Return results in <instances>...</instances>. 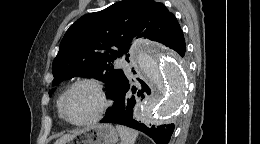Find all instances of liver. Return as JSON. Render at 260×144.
<instances>
[{"instance_id":"1","label":"liver","mask_w":260,"mask_h":144,"mask_svg":"<svg viewBox=\"0 0 260 144\" xmlns=\"http://www.w3.org/2000/svg\"><path fill=\"white\" fill-rule=\"evenodd\" d=\"M81 130H77L74 134L63 135L60 139L56 140L54 144H66L74 135L78 134Z\"/></svg>"}]
</instances>
